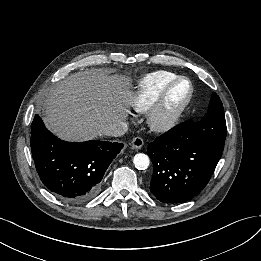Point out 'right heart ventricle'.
I'll return each instance as SVG.
<instances>
[{
  "instance_id": "1",
  "label": "right heart ventricle",
  "mask_w": 261,
  "mask_h": 261,
  "mask_svg": "<svg viewBox=\"0 0 261 261\" xmlns=\"http://www.w3.org/2000/svg\"><path fill=\"white\" fill-rule=\"evenodd\" d=\"M177 77L173 72L157 71L140 78L131 101L133 109L139 113L150 111L165 87Z\"/></svg>"
}]
</instances>
